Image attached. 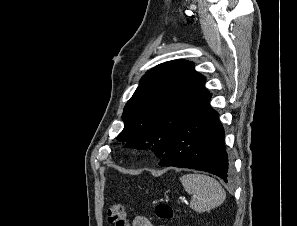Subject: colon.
Wrapping results in <instances>:
<instances>
[{"mask_svg":"<svg viewBox=\"0 0 297 226\" xmlns=\"http://www.w3.org/2000/svg\"><path fill=\"white\" fill-rule=\"evenodd\" d=\"M156 215L163 220L172 219L173 209L169 204L159 203L155 208ZM107 220L113 226H128L125 207L122 204L114 203L107 211Z\"/></svg>","mask_w":297,"mask_h":226,"instance_id":"5ec220e1","label":"colon"}]
</instances>
